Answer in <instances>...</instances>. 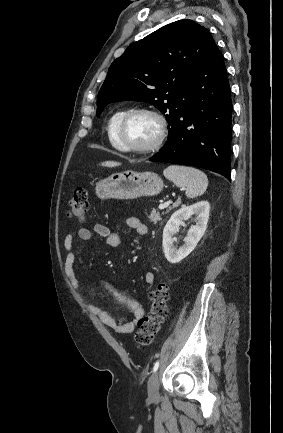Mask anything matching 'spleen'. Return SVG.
Listing matches in <instances>:
<instances>
[{"mask_svg": "<svg viewBox=\"0 0 283 433\" xmlns=\"http://www.w3.org/2000/svg\"><path fill=\"white\" fill-rule=\"evenodd\" d=\"M163 174L168 180H172L176 186H186V194L189 198L200 196L208 186V178L205 172L193 168V166L170 164V166L164 168Z\"/></svg>", "mask_w": 283, "mask_h": 433, "instance_id": "3e777b00", "label": "spleen"}]
</instances>
